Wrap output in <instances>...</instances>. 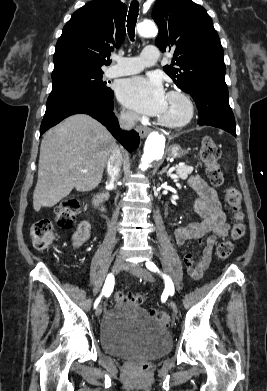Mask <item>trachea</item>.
<instances>
[{
	"label": "trachea",
	"mask_w": 267,
	"mask_h": 391,
	"mask_svg": "<svg viewBox=\"0 0 267 391\" xmlns=\"http://www.w3.org/2000/svg\"><path fill=\"white\" fill-rule=\"evenodd\" d=\"M138 12H139V3L136 0H134L131 2L129 13L127 16V31L131 41H134V37H135V26L137 22Z\"/></svg>",
	"instance_id": "trachea-1"
}]
</instances>
